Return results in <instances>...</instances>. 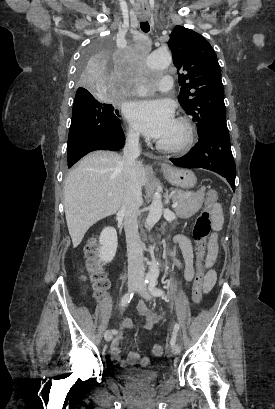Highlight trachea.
Returning a JSON list of instances; mask_svg holds the SVG:
<instances>
[{"label": "trachea", "mask_w": 275, "mask_h": 409, "mask_svg": "<svg viewBox=\"0 0 275 409\" xmlns=\"http://www.w3.org/2000/svg\"><path fill=\"white\" fill-rule=\"evenodd\" d=\"M141 30L145 33L149 32L150 26L148 22H141L140 23Z\"/></svg>", "instance_id": "obj_1"}]
</instances>
